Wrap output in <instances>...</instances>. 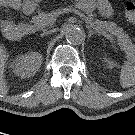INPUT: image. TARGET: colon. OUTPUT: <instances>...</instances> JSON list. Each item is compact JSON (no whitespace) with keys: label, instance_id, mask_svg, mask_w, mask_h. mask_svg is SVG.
<instances>
[{"label":"colon","instance_id":"1","mask_svg":"<svg viewBox=\"0 0 135 135\" xmlns=\"http://www.w3.org/2000/svg\"><path fill=\"white\" fill-rule=\"evenodd\" d=\"M125 15L129 22L135 24V1H129L125 7Z\"/></svg>","mask_w":135,"mask_h":135}]
</instances>
